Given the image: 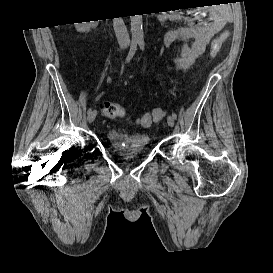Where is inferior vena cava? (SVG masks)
<instances>
[{
    "instance_id": "obj_1",
    "label": "inferior vena cava",
    "mask_w": 273,
    "mask_h": 273,
    "mask_svg": "<svg viewBox=\"0 0 273 273\" xmlns=\"http://www.w3.org/2000/svg\"><path fill=\"white\" fill-rule=\"evenodd\" d=\"M113 26L119 45L121 47L129 46L130 38L122 17L114 18Z\"/></svg>"
}]
</instances>
